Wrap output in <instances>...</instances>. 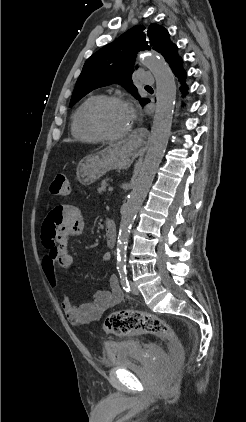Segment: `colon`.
Listing matches in <instances>:
<instances>
[{
  "mask_svg": "<svg viewBox=\"0 0 246 422\" xmlns=\"http://www.w3.org/2000/svg\"><path fill=\"white\" fill-rule=\"evenodd\" d=\"M70 192L66 175L58 174L50 185L53 196L65 197ZM104 330L109 334L126 335L130 333L150 334L169 344L174 363L183 358V349L172 327L162 318L135 310H122L111 313L104 322Z\"/></svg>",
  "mask_w": 246,
  "mask_h": 422,
  "instance_id": "5ec220e1",
  "label": "colon"
}]
</instances>
